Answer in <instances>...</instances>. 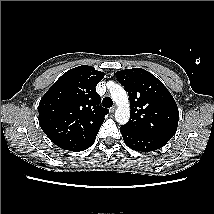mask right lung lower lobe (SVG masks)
Instances as JSON below:
<instances>
[{
    "label": "right lung lower lobe",
    "instance_id": "right-lung-lower-lobe-1",
    "mask_svg": "<svg viewBox=\"0 0 214 214\" xmlns=\"http://www.w3.org/2000/svg\"><path fill=\"white\" fill-rule=\"evenodd\" d=\"M95 141V139L88 145V146H86L84 149H82V150H86V149H88L92 144H93V142ZM81 150V151H82Z\"/></svg>",
    "mask_w": 214,
    "mask_h": 214
}]
</instances>
